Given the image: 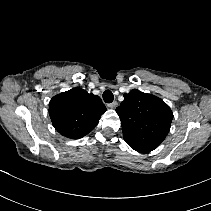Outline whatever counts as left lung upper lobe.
I'll list each match as a JSON object with an SVG mask.
<instances>
[{"mask_svg":"<svg viewBox=\"0 0 211 211\" xmlns=\"http://www.w3.org/2000/svg\"><path fill=\"white\" fill-rule=\"evenodd\" d=\"M126 143L140 153L156 149L167 136L173 113L160 98L133 89L116 108Z\"/></svg>","mask_w":211,"mask_h":211,"instance_id":"1","label":"left lung upper lobe"}]
</instances>
